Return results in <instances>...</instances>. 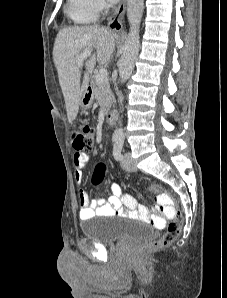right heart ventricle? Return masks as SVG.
Masks as SVG:
<instances>
[{
    "label": "right heart ventricle",
    "mask_w": 227,
    "mask_h": 298,
    "mask_svg": "<svg viewBox=\"0 0 227 298\" xmlns=\"http://www.w3.org/2000/svg\"><path fill=\"white\" fill-rule=\"evenodd\" d=\"M65 12L77 23H90L96 19V15L85 8L79 0H68Z\"/></svg>",
    "instance_id": "e07e8e85"
}]
</instances>
